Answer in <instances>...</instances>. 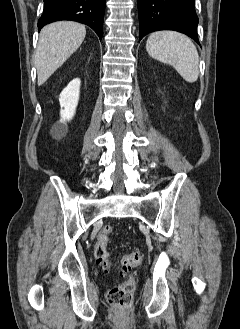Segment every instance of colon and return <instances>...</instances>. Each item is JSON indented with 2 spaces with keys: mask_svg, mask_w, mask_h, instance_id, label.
<instances>
[{
  "mask_svg": "<svg viewBox=\"0 0 240 329\" xmlns=\"http://www.w3.org/2000/svg\"><path fill=\"white\" fill-rule=\"evenodd\" d=\"M111 233V225H104L101 228L97 236L94 251L96 259L106 269L111 266L109 252L107 250V243ZM142 259L143 255L140 251H132L121 257L120 262L122 265V275L125 279L108 290L107 299L111 305L123 310L130 309L134 300L135 281L129 273L133 268L141 263Z\"/></svg>",
  "mask_w": 240,
  "mask_h": 329,
  "instance_id": "1",
  "label": "colon"
}]
</instances>
